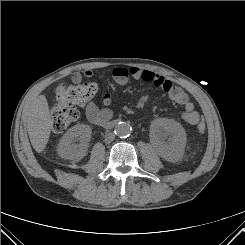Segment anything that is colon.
Wrapping results in <instances>:
<instances>
[{
    "label": "colon",
    "instance_id": "colon-1",
    "mask_svg": "<svg viewBox=\"0 0 245 245\" xmlns=\"http://www.w3.org/2000/svg\"><path fill=\"white\" fill-rule=\"evenodd\" d=\"M96 93L97 85L93 82L58 85L54 90L55 104L51 109L52 130L55 133L66 130L78 118V111L74 106L88 102ZM197 131L200 134L204 133L205 123L203 120L198 122Z\"/></svg>",
    "mask_w": 245,
    "mask_h": 245
}]
</instances>
